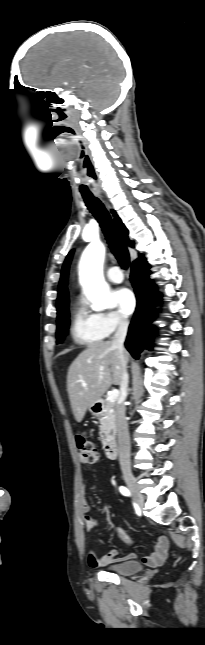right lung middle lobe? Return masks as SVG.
Returning a JSON list of instances; mask_svg holds the SVG:
<instances>
[{
	"label": "right lung middle lobe",
	"mask_w": 205,
	"mask_h": 645,
	"mask_svg": "<svg viewBox=\"0 0 205 645\" xmlns=\"http://www.w3.org/2000/svg\"><path fill=\"white\" fill-rule=\"evenodd\" d=\"M69 327V312L65 308L62 313L57 317V344L61 343L64 337L67 335Z\"/></svg>",
	"instance_id": "dd1d6c3e"
}]
</instances>
